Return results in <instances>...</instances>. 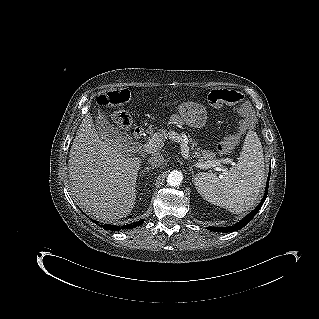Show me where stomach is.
Wrapping results in <instances>:
<instances>
[{
	"label": "stomach",
	"mask_w": 319,
	"mask_h": 319,
	"mask_svg": "<svg viewBox=\"0 0 319 319\" xmlns=\"http://www.w3.org/2000/svg\"><path fill=\"white\" fill-rule=\"evenodd\" d=\"M180 114L183 121L194 128H201L206 124V110L201 106L186 103L180 108Z\"/></svg>",
	"instance_id": "1"
}]
</instances>
